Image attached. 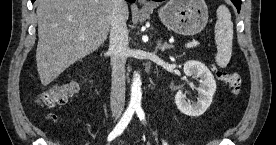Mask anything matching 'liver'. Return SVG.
<instances>
[{
	"label": "liver",
	"instance_id": "liver-1",
	"mask_svg": "<svg viewBox=\"0 0 276 145\" xmlns=\"http://www.w3.org/2000/svg\"><path fill=\"white\" fill-rule=\"evenodd\" d=\"M114 4L115 0L36 1V62L42 85H49L70 65L104 43ZM128 14L127 7V18Z\"/></svg>",
	"mask_w": 276,
	"mask_h": 145
}]
</instances>
